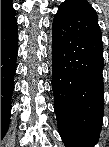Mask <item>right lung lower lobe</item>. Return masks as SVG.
<instances>
[{
  "label": "right lung lower lobe",
  "mask_w": 109,
  "mask_h": 147,
  "mask_svg": "<svg viewBox=\"0 0 109 147\" xmlns=\"http://www.w3.org/2000/svg\"><path fill=\"white\" fill-rule=\"evenodd\" d=\"M18 31L15 16L1 23V139L5 135L11 112V97L14 89Z\"/></svg>",
  "instance_id": "obj_1"
}]
</instances>
